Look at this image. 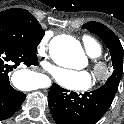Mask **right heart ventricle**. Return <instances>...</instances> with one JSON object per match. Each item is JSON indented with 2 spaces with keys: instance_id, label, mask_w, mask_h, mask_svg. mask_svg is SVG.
Returning a JSON list of instances; mask_svg holds the SVG:
<instances>
[{
  "instance_id": "e07e8e85",
  "label": "right heart ventricle",
  "mask_w": 124,
  "mask_h": 124,
  "mask_svg": "<svg viewBox=\"0 0 124 124\" xmlns=\"http://www.w3.org/2000/svg\"><path fill=\"white\" fill-rule=\"evenodd\" d=\"M82 43L89 56L97 58L102 54V47L100 43L92 36H83Z\"/></svg>"
}]
</instances>
